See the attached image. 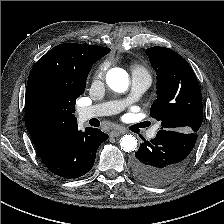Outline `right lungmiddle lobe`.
<instances>
[{"mask_svg": "<svg viewBox=\"0 0 224 224\" xmlns=\"http://www.w3.org/2000/svg\"><path fill=\"white\" fill-rule=\"evenodd\" d=\"M86 79L87 76L79 87L52 78L36 81L27 94L29 111L40 119L58 117L66 108L75 112L76 99L83 94Z\"/></svg>", "mask_w": 224, "mask_h": 224, "instance_id": "right-lung-middle-lobe-1", "label": "right lung middle lobe"}]
</instances>
